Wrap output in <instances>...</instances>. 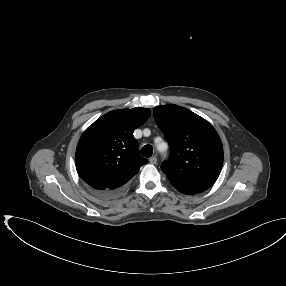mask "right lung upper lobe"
<instances>
[{
    "label": "right lung upper lobe",
    "mask_w": 286,
    "mask_h": 286,
    "mask_svg": "<svg viewBox=\"0 0 286 286\" xmlns=\"http://www.w3.org/2000/svg\"><path fill=\"white\" fill-rule=\"evenodd\" d=\"M150 115L148 108L111 111L86 129L77 145L76 169L90 188L120 191L148 162L133 131Z\"/></svg>",
    "instance_id": "1"
}]
</instances>
